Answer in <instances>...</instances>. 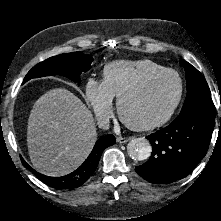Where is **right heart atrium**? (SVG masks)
Instances as JSON below:
<instances>
[{
	"instance_id": "right-heart-atrium-1",
	"label": "right heart atrium",
	"mask_w": 221,
	"mask_h": 221,
	"mask_svg": "<svg viewBox=\"0 0 221 221\" xmlns=\"http://www.w3.org/2000/svg\"><path fill=\"white\" fill-rule=\"evenodd\" d=\"M85 97L99 122L111 117L113 97L103 81L89 78L85 85Z\"/></svg>"
}]
</instances>
